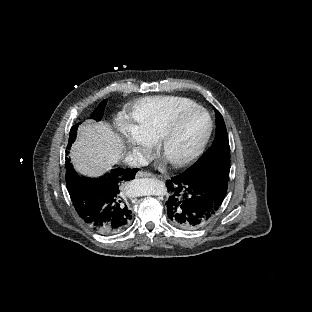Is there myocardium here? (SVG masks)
<instances>
[{
  "label": "myocardium",
  "instance_id": "f54148a6",
  "mask_svg": "<svg viewBox=\"0 0 312 312\" xmlns=\"http://www.w3.org/2000/svg\"><path fill=\"white\" fill-rule=\"evenodd\" d=\"M201 120L203 124V130L199 133L200 139L193 141V149H187L185 155L181 156L170 149L168 146L171 144V138L173 137L176 126L181 123H186L188 120L193 119ZM213 131L212 121L210 115L201 106H190L185 109H180L178 114H174L169 122L165 124V129L162 134L159 135L157 140V148L162 155H165L173 162L175 169L191 167L196 164L206 153V148L209 145V139L211 138V132Z\"/></svg>",
  "mask_w": 312,
  "mask_h": 312
}]
</instances>
